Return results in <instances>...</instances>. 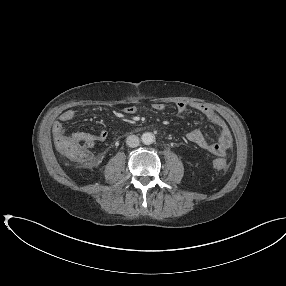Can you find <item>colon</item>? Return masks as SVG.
<instances>
[{
    "mask_svg": "<svg viewBox=\"0 0 286 286\" xmlns=\"http://www.w3.org/2000/svg\"><path fill=\"white\" fill-rule=\"evenodd\" d=\"M56 146L58 150L67 158L88 163L92 160V155L87 151L84 138L76 134H61L56 138ZM229 163L226 159H216L214 167L219 170L226 169Z\"/></svg>",
    "mask_w": 286,
    "mask_h": 286,
    "instance_id": "obj_1",
    "label": "colon"
}]
</instances>
